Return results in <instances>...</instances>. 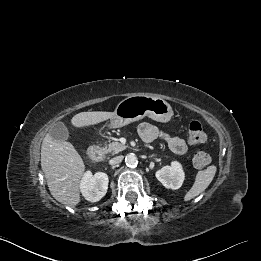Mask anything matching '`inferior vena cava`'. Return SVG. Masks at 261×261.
<instances>
[{
	"mask_svg": "<svg viewBox=\"0 0 261 261\" xmlns=\"http://www.w3.org/2000/svg\"><path fill=\"white\" fill-rule=\"evenodd\" d=\"M122 160H123V156H116V157L112 158V159L109 161V163H110L111 165H118L119 163L122 162Z\"/></svg>",
	"mask_w": 261,
	"mask_h": 261,
	"instance_id": "inferior-vena-cava-1",
	"label": "inferior vena cava"
}]
</instances>
